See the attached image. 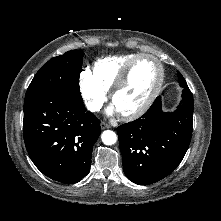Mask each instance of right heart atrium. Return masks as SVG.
Instances as JSON below:
<instances>
[{
  "mask_svg": "<svg viewBox=\"0 0 221 221\" xmlns=\"http://www.w3.org/2000/svg\"><path fill=\"white\" fill-rule=\"evenodd\" d=\"M79 88L88 110L98 111L107 100V92L95 81L90 71H83L79 76Z\"/></svg>",
  "mask_w": 221,
  "mask_h": 221,
  "instance_id": "1",
  "label": "right heart atrium"
}]
</instances>
